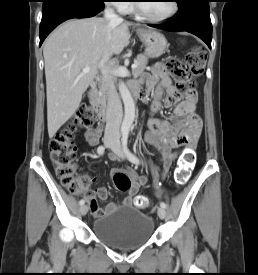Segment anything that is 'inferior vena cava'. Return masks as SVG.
<instances>
[{"label":"inferior vena cava","mask_w":258,"mask_h":275,"mask_svg":"<svg viewBox=\"0 0 258 275\" xmlns=\"http://www.w3.org/2000/svg\"><path fill=\"white\" fill-rule=\"evenodd\" d=\"M105 19L111 23H121L123 19L116 15L112 8L109 6L106 7L104 12ZM110 55H106V59H108ZM100 70L102 73V80L104 86L108 92V103H107V111H106V128H105V136H119V128L122 121V105L120 99L116 93V90L111 82L109 72L105 66V63L102 62L100 65Z\"/></svg>","instance_id":"1"}]
</instances>
